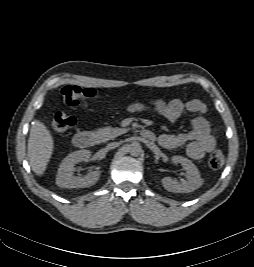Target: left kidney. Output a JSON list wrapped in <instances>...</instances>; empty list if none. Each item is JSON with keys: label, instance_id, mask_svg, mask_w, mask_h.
Listing matches in <instances>:
<instances>
[{"label": "left kidney", "instance_id": "5707ae66", "mask_svg": "<svg viewBox=\"0 0 254 267\" xmlns=\"http://www.w3.org/2000/svg\"><path fill=\"white\" fill-rule=\"evenodd\" d=\"M172 161L180 163L184 167L187 179L177 182L170 177L163 178L162 185L166 190L174 193H189L201 187L203 180L198 168L191 160L182 156H173Z\"/></svg>", "mask_w": 254, "mask_h": 267}]
</instances>
